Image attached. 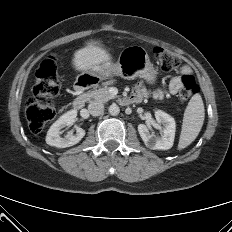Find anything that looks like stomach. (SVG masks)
I'll list each match as a JSON object with an SVG mask.
<instances>
[{
	"label": "stomach",
	"mask_w": 232,
	"mask_h": 232,
	"mask_svg": "<svg viewBox=\"0 0 232 232\" xmlns=\"http://www.w3.org/2000/svg\"><path fill=\"white\" fill-rule=\"evenodd\" d=\"M120 76L125 79L141 77L149 84L156 80L157 72L149 60L147 51L141 46H130L122 50L117 63L101 65L97 70H88L78 75L76 83L92 85L99 80L112 76Z\"/></svg>",
	"instance_id": "1"
}]
</instances>
